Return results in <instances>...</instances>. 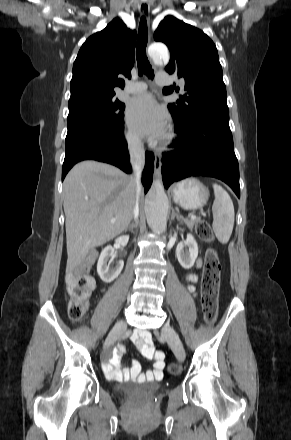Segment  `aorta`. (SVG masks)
<instances>
[{"label": "aorta", "mask_w": 291, "mask_h": 440, "mask_svg": "<svg viewBox=\"0 0 291 440\" xmlns=\"http://www.w3.org/2000/svg\"><path fill=\"white\" fill-rule=\"evenodd\" d=\"M148 54L153 59H161L168 63L170 56L164 44H152L148 49ZM168 198L164 191L162 180L157 179L148 193L145 202V213L149 227L155 233H163L167 228Z\"/></svg>", "instance_id": "1"}]
</instances>
